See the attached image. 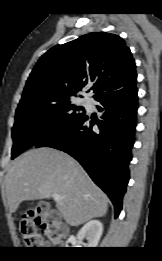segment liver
Instances as JSON below:
<instances>
[{
	"label": "liver",
	"mask_w": 162,
	"mask_h": 261,
	"mask_svg": "<svg viewBox=\"0 0 162 261\" xmlns=\"http://www.w3.org/2000/svg\"><path fill=\"white\" fill-rule=\"evenodd\" d=\"M5 192L10 213L25 200L61 196L56 207L66 223L79 226L108 210V198L69 155L52 148L32 149L7 172Z\"/></svg>",
	"instance_id": "6515ba94"
}]
</instances>
